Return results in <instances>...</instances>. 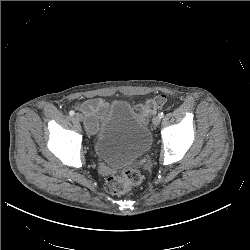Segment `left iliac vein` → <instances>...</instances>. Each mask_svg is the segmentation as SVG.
Segmentation results:
<instances>
[{
	"label": "left iliac vein",
	"mask_w": 250,
	"mask_h": 250,
	"mask_svg": "<svg viewBox=\"0 0 250 250\" xmlns=\"http://www.w3.org/2000/svg\"><path fill=\"white\" fill-rule=\"evenodd\" d=\"M152 122H153V124H154L155 126H158V125L160 124V122H161V119H160L159 116H155V117L153 118Z\"/></svg>",
	"instance_id": "4c4485c4"
}]
</instances>
